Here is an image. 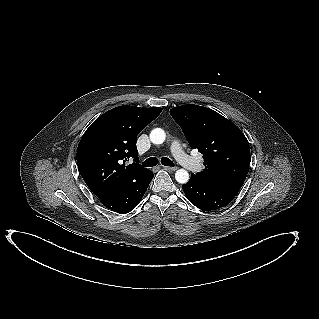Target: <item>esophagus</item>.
Returning <instances> with one entry per match:
<instances>
[{
    "mask_svg": "<svg viewBox=\"0 0 319 319\" xmlns=\"http://www.w3.org/2000/svg\"><path fill=\"white\" fill-rule=\"evenodd\" d=\"M164 169L168 170V171H175L177 170V167H170V166H163Z\"/></svg>",
    "mask_w": 319,
    "mask_h": 319,
    "instance_id": "1",
    "label": "esophagus"
}]
</instances>
